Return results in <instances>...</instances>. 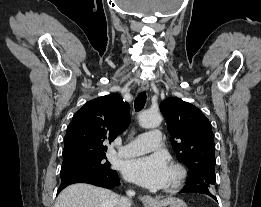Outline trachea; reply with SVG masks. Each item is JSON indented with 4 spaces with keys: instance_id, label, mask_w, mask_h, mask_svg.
<instances>
[{
    "instance_id": "3493384b",
    "label": "trachea",
    "mask_w": 261,
    "mask_h": 207,
    "mask_svg": "<svg viewBox=\"0 0 261 207\" xmlns=\"http://www.w3.org/2000/svg\"><path fill=\"white\" fill-rule=\"evenodd\" d=\"M146 92L139 93L135 99L134 107L136 112L142 110L146 103Z\"/></svg>"
}]
</instances>
